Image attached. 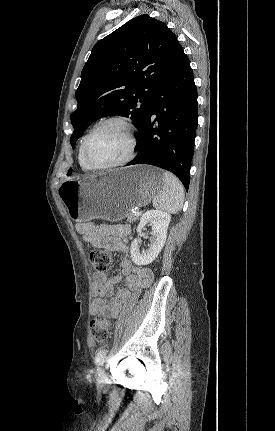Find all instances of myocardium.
<instances>
[{
    "instance_id": "myocardium-1",
    "label": "myocardium",
    "mask_w": 275,
    "mask_h": 431,
    "mask_svg": "<svg viewBox=\"0 0 275 431\" xmlns=\"http://www.w3.org/2000/svg\"><path fill=\"white\" fill-rule=\"evenodd\" d=\"M110 123H119L120 125H122L127 133H128V137H129V149L128 152L126 154V156L114 163L111 164H104V165H97V164H93L88 156H87V144L89 139L91 138V136L102 126L106 125V124H110ZM136 132H135V128L133 126V124L126 119L125 117L122 116H112V117H108L98 123H96L90 130L89 132L86 134L85 138L83 139L82 142V146H81V151H82V157L83 160L85 162V164L93 170H106V169H113V168H118L121 166H124L126 164H128L129 162H131L135 156V150H136Z\"/></svg>"
}]
</instances>
